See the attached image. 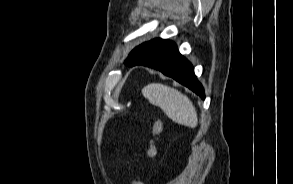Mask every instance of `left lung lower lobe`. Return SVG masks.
Masks as SVG:
<instances>
[{"mask_svg": "<svg viewBox=\"0 0 293 184\" xmlns=\"http://www.w3.org/2000/svg\"><path fill=\"white\" fill-rule=\"evenodd\" d=\"M146 46L149 57L135 65L157 69L205 99L204 89L194 74L192 64L179 53L174 42L158 38L147 42Z\"/></svg>", "mask_w": 293, "mask_h": 184, "instance_id": "left-lung-lower-lobe-1", "label": "left lung lower lobe"}]
</instances>
